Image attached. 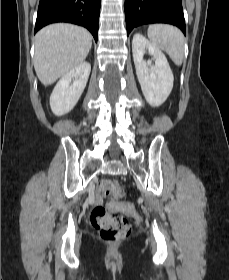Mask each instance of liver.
Wrapping results in <instances>:
<instances>
[{"mask_svg":"<svg viewBox=\"0 0 229 280\" xmlns=\"http://www.w3.org/2000/svg\"><path fill=\"white\" fill-rule=\"evenodd\" d=\"M92 46L84 28L57 23L44 27L35 36L34 68L45 86L51 85L82 63Z\"/></svg>","mask_w":229,"mask_h":280,"instance_id":"liver-1","label":"liver"}]
</instances>
